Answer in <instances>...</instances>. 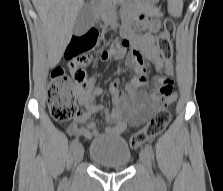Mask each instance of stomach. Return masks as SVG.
Returning <instances> with one entry per match:
<instances>
[{
	"label": "stomach",
	"instance_id": "stomach-1",
	"mask_svg": "<svg viewBox=\"0 0 223 191\" xmlns=\"http://www.w3.org/2000/svg\"><path fill=\"white\" fill-rule=\"evenodd\" d=\"M158 0H153V2H157Z\"/></svg>",
	"mask_w": 223,
	"mask_h": 191
}]
</instances>
